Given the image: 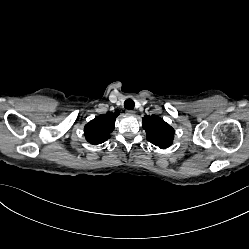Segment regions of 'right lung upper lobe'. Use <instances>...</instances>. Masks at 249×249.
<instances>
[{"label":"right lung upper lobe","mask_w":249,"mask_h":249,"mask_svg":"<svg viewBox=\"0 0 249 249\" xmlns=\"http://www.w3.org/2000/svg\"><path fill=\"white\" fill-rule=\"evenodd\" d=\"M118 112H108L90 121L84 127L86 140L94 145L105 142L110 138V133L115 128V120Z\"/></svg>","instance_id":"obj_1"}]
</instances>
